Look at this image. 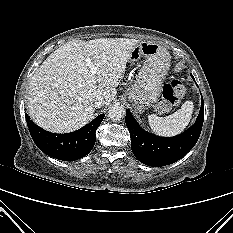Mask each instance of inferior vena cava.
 Instances as JSON below:
<instances>
[{
    "mask_svg": "<svg viewBox=\"0 0 233 233\" xmlns=\"http://www.w3.org/2000/svg\"><path fill=\"white\" fill-rule=\"evenodd\" d=\"M104 104H105V101H104V99L101 98V97H97V98H95V99L93 100V106H94L95 108H100V107L104 106Z\"/></svg>",
    "mask_w": 233,
    "mask_h": 233,
    "instance_id": "inferior-vena-cava-1",
    "label": "inferior vena cava"
}]
</instances>
